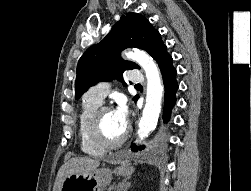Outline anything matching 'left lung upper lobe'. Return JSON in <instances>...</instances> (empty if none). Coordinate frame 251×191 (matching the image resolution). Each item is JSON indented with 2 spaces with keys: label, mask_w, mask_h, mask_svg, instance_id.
<instances>
[{
  "label": "left lung upper lobe",
  "mask_w": 251,
  "mask_h": 191,
  "mask_svg": "<svg viewBox=\"0 0 251 191\" xmlns=\"http://www.w3.org/2000/svg\"><path fill=\"white\" fill-rule=\"evenodd\" d=\"M128 47L147 51L157 60L167 50L160 33L138 13H127L115 23L109 34L93 45L81 56L77 65L76 97L78 99L92 85L99 81L123 80L126 70L140 68L133 62L125 61L120 52ZM126 86L125 83H123ZM138 96L134 97V100Z\"/></svg>",
  "instance_id": "obj_1"
}]
</instances>
